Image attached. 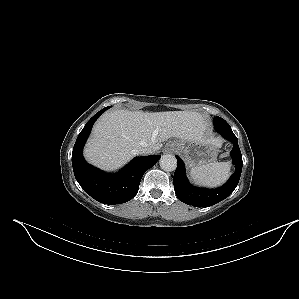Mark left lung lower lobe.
I'll return each instance as SVG.
<instances>
[{"instance_id":"0a47b994","label":"left lung lower lobe","mask_w":299,"mask_h":299,"mask_svg":"<svg viewBox=\"0 0 299 299\" xmlns=\"http://www.w3.org/2000/svg\"><path fill=\"white\" fill-rule=\"evenodd\" d=\"M214 125L215 129L221 133L225 139L234 143L230 154L236 170L231 175L230 179L219 188H198L188 183L185 175L184 163L180 157L176 156L178 165L173 177L176 196L182 202L194 207H209L227 198L236 188L242 171V155L239 149L237 137L232 132L230 125L225 120H214Z\"/></svg>"}]
</instances>
